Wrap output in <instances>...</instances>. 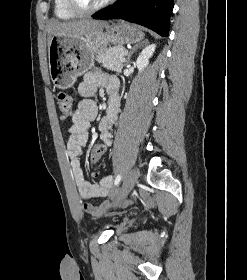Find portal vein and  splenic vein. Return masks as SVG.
Listing matches in <instances>:
<instances>
[{"instance_id": "obj_1", "label": "portal vein and splenic vein", "mask_w": 247, "mask_h": 280, "mask_svg": "<svg viewBox=\"0 0 247 280\" xmlns=\"http://www.w3.org/2000/svg\"><path fill=\"white\" fill-rule=\"evenodd\" d=\"M127 54V52H125L121 57H120V61L121 62H125V58H124V56Z\"/></svg>"}]
</instances>
